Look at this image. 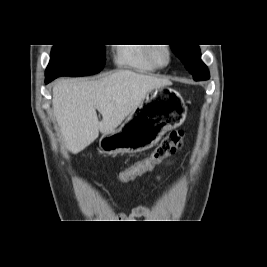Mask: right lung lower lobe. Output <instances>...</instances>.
Returning a JSON list of instances; mask_svg holds the SVG:
<instances>
[{"instance_id":"98d812e1","label":"right lung lower lobe","mask_w":267,"mask_h":267,"mask_svg":"<svg viewBox=\"0 0 267 267\" xmlns=\"http://www.w3.org/2000/svg\"><path fill=\"white\" fill-rule=\"evenodd\" d=\"M56 76H49V77H45V83L48 84L49 82H51L52 80L56 79Z\"/></svg>"}]
</instances>
